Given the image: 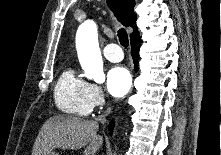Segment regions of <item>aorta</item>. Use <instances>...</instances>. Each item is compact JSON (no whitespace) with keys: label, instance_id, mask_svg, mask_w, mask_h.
<instances>
[{"label":"aorta","instance_id":"1","mask_svg":"<svg viewBox=\"0 0 221 155\" xmlns=\"http://www.w3.org/2000/svg\"><path fill=\"white\" fill-rule=\"evenodd\" d=\"M76 48L85 77L103 83L105 81L103 61L98 44L97 26L93 21H85L79 26Z\"/></svg>","mask_w":221,"mask_h":155}]
</instances>
